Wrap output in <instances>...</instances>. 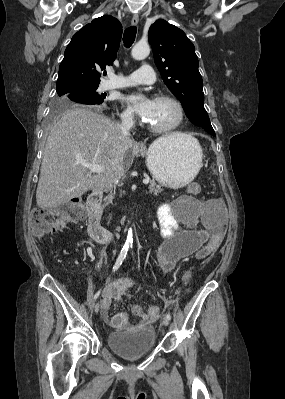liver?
<instances>
[{"mask_svg": "<svg viewBox=\"0 0 285 399\" xmlns=\"http://www.w3.org/2000/svg\"><path fill=\"white\" fill-rule=\"evenodd\" d=\"M181 135L191 137L173 133L163 138ZM133 148L132 139L123 136L119 123L88 109L68 110L50 128L36 190L37 205L56 208L88 190L112 186L130 168ZM83 163L100 165L104 170L91 172Z\"/></svg>", "mask_w": 285, "mask_h": 399, "instance_id": "liver-1", "label": "liver"}]
</instances>
